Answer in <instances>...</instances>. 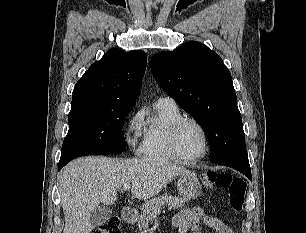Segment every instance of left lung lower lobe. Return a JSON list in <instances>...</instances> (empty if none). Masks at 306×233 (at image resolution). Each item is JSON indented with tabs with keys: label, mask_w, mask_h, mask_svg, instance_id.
<instances>
[{
	"label": "left lung lower lobe",
	"mask_w": 306,
	"mask_h": 233,
	"mask_svg": "<svg viewBox=\"0 0 306 233\" xmlns=\"http://www.w3.org/2000/svg\"><path fill=\"white\" fill-rule=\"evenodd\" d=\"M217 164L225 165L234 168L241 173L245 174L249 179H251V171L248 158H237L218 162Z\"/></svg>",
	"instance_id": "1"
}]
</instances>
